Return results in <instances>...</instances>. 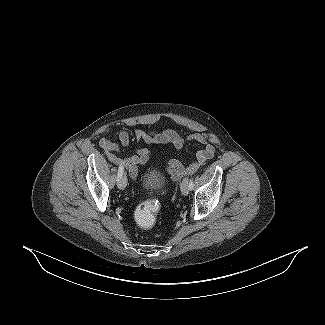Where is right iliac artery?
I'll return each mask as SVG.
<instances>
[{"label":"right iliac artery","instance_id":"1","mask_svg":"<svg viewBox=\"0 0 325 325\" xmlns=\"http://www.w3.org/2000/svg\"><path fill=\"white\" fill-rule=\"evenodd\" d=\"M123 172H124V168L122 165H119V169H118V175H117V181L120 180V178L122 177L123 175Z\"/></svg>","mask_w":325,"mask_h":325}]
</instances>
